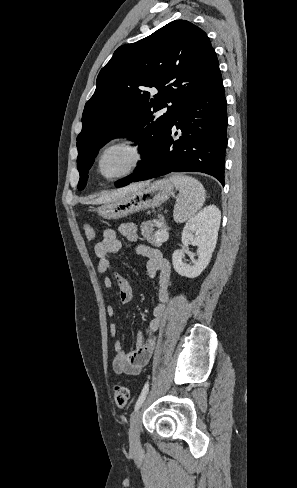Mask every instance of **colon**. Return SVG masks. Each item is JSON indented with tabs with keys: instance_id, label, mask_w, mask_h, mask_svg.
Masks as SVG:
<instances>
[{
	"instance_id": "5ec220e1",
	"label": "colon",
	"mask_w": 297,
	"mask_h": 488,
	"mask_svg": "<svg viewBox=\"0 0 297 488\" xmlns=\"http://www.w3.org/2000/svg\"><path fill=\"white\" fill-rule=\"evenodd\" d=\"M84 233L88 241L93 242L96 234L91 225L84 226ZM130 398V390L124 385H116L114 388V399L118 407H124Z\"/></svg>"
}]
</instances>
